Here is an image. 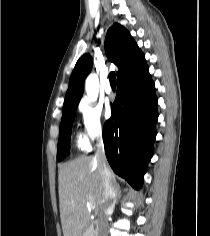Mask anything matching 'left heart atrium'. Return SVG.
<instances>
[{
    "label": "left heart atrium",
    "instance_id": "left-heart-atrium-1",
    "mask_svg": "<svg viewBox=\"0 0 210 236\" xmlns=\"http://www.w3.org/2000/svg\"><path fill=\"white\" fill-rule=\"evenodd\" d=\"M105 115L107 118L111 115V109L109 105L106 106Z\"/></svg>",
    "mask_w": 210,
    "mask_h": 236
}]
</instances>
